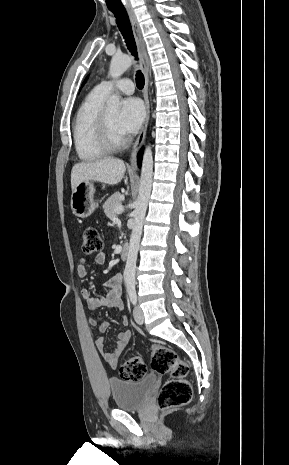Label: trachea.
<instances>
[{"mask_svg": "<svg viewBox=\"0 0 289 465\" xmlns=\"http://www.w3.org/2000/svg\"><path fill=\"white\" fill-rule=\"evenodd\" d=\"M116 18L117 26L125 39L126 46L128 47L129 51L132 53L133 56L137 59V48L131 28V24L128 18V14L125 9H118V10H111ZM136 86L138 89H142L144 87V75L141 71H138L136 74Z\"/></svg>", "mask_w": 289, "mask_h": 465, "instance_id": "1", "label": "trachea"}]
</instances>
